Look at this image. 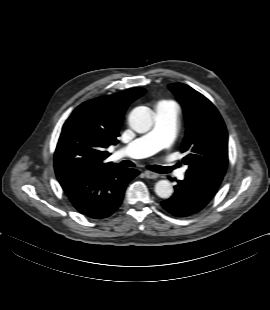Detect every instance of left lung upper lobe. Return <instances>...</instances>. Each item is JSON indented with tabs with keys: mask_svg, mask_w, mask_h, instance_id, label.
Segmentation results:
<instances>
[{
	"mask_svg": "<svg viewBox=\"0 0 270 310\" xmlns=\"http://www.w3.org/2000/svg\"><path fill=\"white\" fill-rule=\"evenodd\" d=\"M186 117L182 152L187 174L222 180L228 162V135L215 106L202 94L182 83L169 84Z\"/></svg>",
	"mask_w": 270,
	"mask_h": 310,
	"instance_id": "left-lung-upper-lobe-1",
	"label": "left lung upper lobe"
}]
</instances>
